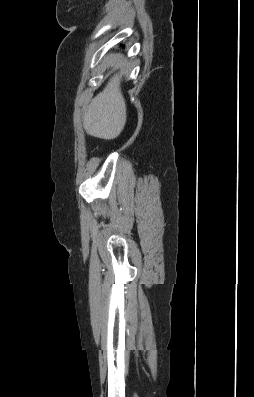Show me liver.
Instances as JSON below:
<instances>
[{"label": "liver", "instance_id": "6515ba94", "mask_svg": "<svg viewBox=\"0 0 254 397\" xmlns=\"http://www.w3.org/2000/svg\"><path fill=\"white\" fill-rule=\"evenodd\" d=\"M119 74L109 80L88 106L84 117L83 127L88 135L100 139L117 138L126 123V104L120 88Z\"/></svg>", "mask_w": 254, "mask_h": 397}]
</instances>
